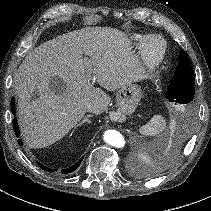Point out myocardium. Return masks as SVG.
<instances>
[{"label":"myocardium","mask_w":211,"mask_h":211,"mask_svg":"<svg viewBox=\"0 0 211 211\" xmlns=\"http://www.w3.org/2000/svg\"><path fill=\"white\" fill-rule=\"evenodd\" d=\"M158 43L157 50H152L150 42ZM167 51V43L165 39L159 35H149L145 37L140 45L141 60L147 71L156 69L164 60Z\"/></svg>","instance_id":"obj_1"}]
</instances>
